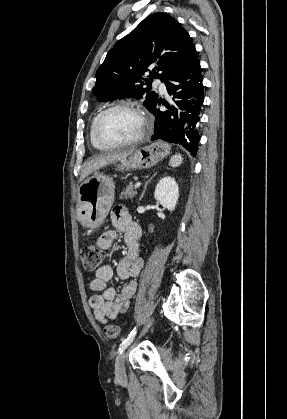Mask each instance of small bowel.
<instances>
[{"label": "small bowel", "instance_id": "small-bowel-1", "mask_svg": "<svg viewBox=\"0 0 287 419\" xmlns=\"http://www.w3.org/2000/svg\"><path fill=\"white\" fill-rule=\"evenodd\" d=\"M111 219L113 226L123 232L126 245L125 255L117 265V275L120 279L128 282L119 293H116L114 288L107 287V282L112 278L111 266L104 265L96 271L95 277L90 283V288L94 292H101V294L93 295L89 304L96 319L101 323L108 319H116L119 314L127 311L130 299L136 292V279L144 265L140 256V229L132 221L128 209L121 206L115 207L112 210ZM115 239L116 232L106 230L99 236L97 244L102 249H109L113 246Z\"/></svg>", "mask_w": 287, "mask_h": 419}]
</instances>
